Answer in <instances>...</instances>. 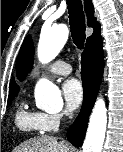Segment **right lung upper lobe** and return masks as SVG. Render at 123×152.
I'll list each match as a JSON object with an SVG mask.
<instances>
[{
	"mask_svg": "<svg viewBox=\"0 0 123 152\" xmlns=\"http://www.w3.org/2000/svg\"><path fill=\"white\" fill-rule=\"evenodd\" d=\"M85 3V12L88 16L87 24L90 27H93L94 32L91 36L87 38V43L90 42L93 38L100 36V25L97 23L93 17L94 9L91 0H84ZM19 91V87L16 85L14 79L11 81L10 88H9V95L17 93Z\"/></svg>",
	"mask_w": 123,
	"mask_h": 152,
	"instance_id": "right-lung-upper-lobe-1",
	"label": "right lung upper lobe"
}]
</instances>
